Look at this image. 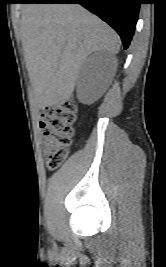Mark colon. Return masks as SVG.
Segmentation results:
<instances>
[{
  "label": "colon",
  "mask_w": 166,
  "mask_h": 267,
  "mask_svg": "<svg viewBox=\"0 0 166 267\" xmlns=\"http://www.w3.org/2000/svg\"><path fill=\"white\" fill-rule=\"evenodd\" d=\"M77 118V104L73 100L46 108L40 122L44 130V150L47 167L57 169L66 159Z\"/></svg>",
  "instance_id": "5ec220e1"
}]
</instances>
